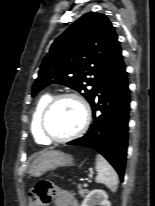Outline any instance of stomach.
Listing matches in <instances>:
<instances>
[{
  "label": "stomach",
  "instance_id": "stomach-1",
  "mask_svg": "<svg viewBox=\"0 0 155 206\" xmlns=\"http://www.w3.org/2000/svg\"><path fill=\"white\" fill-rule=\"evenodd\" d=\"M73 157L62 151L51 150L40 154L31 164L29 174L39 177L58 167L73 165Z\"/></svg>",
  "mask_w": 155,
  "mask_h": 206
}]
</instances>
